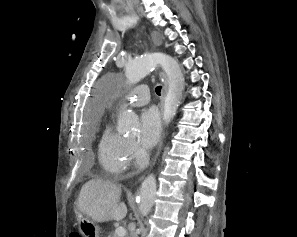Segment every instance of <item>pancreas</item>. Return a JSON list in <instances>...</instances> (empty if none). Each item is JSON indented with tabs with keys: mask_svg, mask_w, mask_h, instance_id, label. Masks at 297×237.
Here are the masks:
<instances>
[{
	"mask_svg": "<svg viewBox=\"0 0 297 237\" xmlns=\"http://www.w3.org/2000/svg\"><path fill=\"white\" fill-rule=\"evenodd\" d=\"M108 237H117V235L114 233V234L108 235Z\"/></svg>",
	"mask_w": 297,
	"mask_h": 237,
	"instance_id": "1",
	"label": "pancreas"
}]
</instances>
